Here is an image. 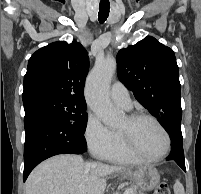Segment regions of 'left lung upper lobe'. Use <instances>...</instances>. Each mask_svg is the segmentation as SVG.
Masks as SVG:
<instances>
[{
    "mask_svg": "<svg viewBox=\"0 0 201 194\" xmlns=\"http://www.w3.org/2000/svg\"><path fill=\"white\" fill-rule=\"evenodd\" d=\"M118 77L166 131L181 126V85L172 49L147 36L117 54Z\"/></svg>",
    "mask_w": 201,
    "mask_h": 194,
    "instance_id": "left-lung-upper-lobe-1",
    "label": "left lung upper lobe"
}]
</instances>
